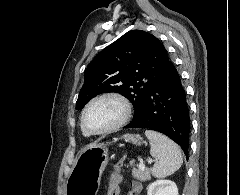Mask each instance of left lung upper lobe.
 <instances>
[{"mask_svg": "<svg viewBox=\"0 0 240 195\" xmlns=\"http://www.w3.org/2000/svg\"><path fill=\"white\" fill-rule=\"evenodd\" d=\"M169 62L167 50L154 35L142 30L125 33L86 68L76 109L98 94L117 92L133 104L135 117L151 87L166 74Z\"/></svg>", "mask_w": 240, "mask_h": 195, "instance_id": "left-lung-upper-lobe-1", "label": "left lung upper lobe"}]
</instances>
